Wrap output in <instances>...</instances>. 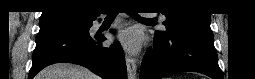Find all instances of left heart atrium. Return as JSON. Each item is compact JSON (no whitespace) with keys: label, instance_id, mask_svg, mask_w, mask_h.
Masks as SVG:
<instances>
[{"label":"left heart atrium","instance_id":"left-heart-atrium-1","mask_svg":"<svg viewBox=\"0 0 255 79\" xmlns=\"http://www.w3.org/2000/svg\"><path fill=\"white\" fill-rule=\"evenodd\" d=\"M114 41L131 54L137 53L142 44L140 33L136 29L120 31L115 36Z\"/></svg>","mask_w":255,"mask_h":79}]
</instances>
